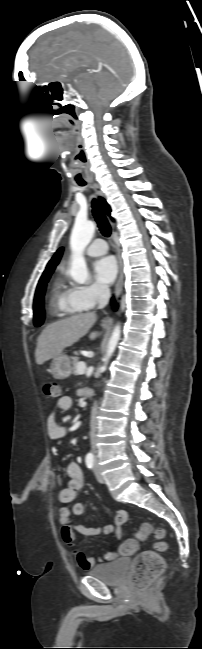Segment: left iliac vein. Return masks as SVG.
I'll use <instances>...</instances> for the list:
<instances>
[{
	"label": "left iliac vein",
	"mask_w": 202,
	"mask_h": 649,
	"mask_svg": "<svg viewBox=\"0 0 202 649\" xmlns=\"http://www.w3.org/2000/svg\"><path fill=\"white\" fill-rule=\"evenodd\" d=\"M95 475L98 482L104 483V477L101 474L100 466L97 461H95Z\"/></svg>",
	"instance_id": "4c4485c4"
}]
</instances>
